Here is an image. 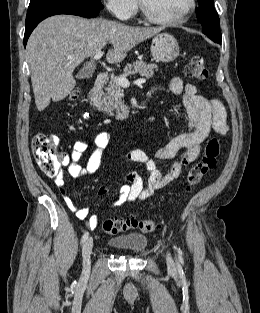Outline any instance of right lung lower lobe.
I'll list each match as a JSON object with an SVG mask.
<instances>
[{
  "instance_id": "obj_1",
  "label": "right lung lower lobe",
  "mask_w": 260,
  "mask_h": 313,
  "mask_svg": "<svg viewBox=\"0 0 260 313\" xmlns=\"http://www.w3.org/2000/svg\"><path fill=\"white\" fill-rule=\"evenodd\" d=\"M100 10V8L76 2L55 0L32 2L29 4L26 16L24 46H26L27 40L33 29L38 25L39 22L47 17L57 14H69L86 18H93L98 16Z\"/></svg>"
}]
</instances>
